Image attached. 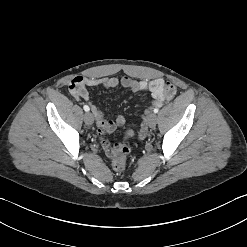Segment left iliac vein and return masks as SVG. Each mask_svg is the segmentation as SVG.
Instances as JSON below:
<instances>
[{
  "label": "left iliac vein",
  "instance_id": "4c4485c4",
  "mask_svg": "<svg viewBox=\"0 0 247 247\" xmlns=\"http://www.w3.org/2000/svg\"><path fill=\"white\" fill-rule=\"evenodd\" d=\"M157 123V115L155 113H151L148 118V124L150 127H155Z\"/></svg>",
  "mask_w": 247,
  "mask_h": 247
}]
</instances>
